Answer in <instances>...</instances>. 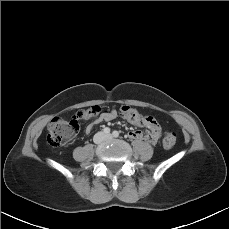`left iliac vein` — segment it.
<instances>
[{
    "label": "left iliac vein",
    "mask_w": 229,
    "mask_h": 229,
    "mask_svg": "<svg viewBox=\"0 0 229 229\" xmlns=\"http://www.w3.org/2000/svg\"><path fill=\"white\" fill-rule=\"evenodd\" d=\"M106 138L107 139H111L112 138V135L109 134V135L106 136Z\"/></svg>",
    "instance_id": "4c4485c4"
}]
</instances>
